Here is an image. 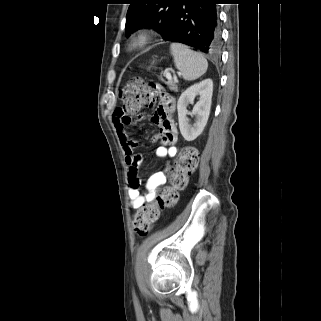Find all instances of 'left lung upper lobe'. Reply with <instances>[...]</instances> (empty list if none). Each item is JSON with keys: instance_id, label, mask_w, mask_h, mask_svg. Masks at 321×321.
Returning a JSON list of instances; mask_svg holds the SVG:
<instances>
[{"instance_id": "obj_1", "label": "left lung upper lobe", "mask_w": 321, "mask_h": 321, "mask_svg": "<svg viewBox=\"0 0 321 321\" xmlns=\"http://www.w3.org/2000/svg\"><path fill=\"white\" fill-rule=\"evenodd\" d=\"M179 0H130L126 16V37L142 28H154L164 36Z\"/></svg>"}]
</instances>
